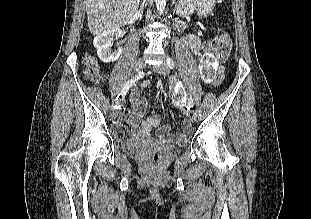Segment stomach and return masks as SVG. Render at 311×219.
Listing matches in <instances>:
<instances>
[{
	"instance_id": "1",
	"label": "stomach",
	"mask_w": 311,
	"mask_h": 219,
	"mask_svg": "<svg viewBox=\"0 0 311 219\" xmlns=\"http://www.w3.org/2000/svg\"><path fill=\"white\" fill-rule=\"evenodd\" d=\"M198 12L202 16L208 15L214 8L216 0H197Z\"/></svg>"
}]
</instances>
